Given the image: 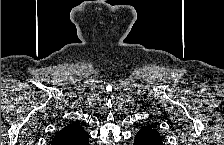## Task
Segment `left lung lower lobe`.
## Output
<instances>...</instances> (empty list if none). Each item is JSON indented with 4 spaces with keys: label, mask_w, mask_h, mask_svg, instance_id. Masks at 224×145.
Returning <instances> with one entry per match:
<instances>
[{
    "label": "left lung lower lobe",
    "mask_w": 224,
    "mask_h": 145,
    "mask_svg": "<svg viewBox=\"0 0 224 145\" xmlns=\"http://www.w3.org/2000/svg\"><path fill=\"white\" fill-rule=\"evenodd\" d=\"M134 145H163L160 134L152 126H143L136 134Z\"/></svg>",
    "instance_id": "1"
}]
</instances>
